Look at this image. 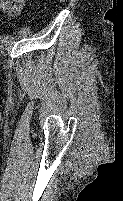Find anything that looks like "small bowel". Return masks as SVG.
I'll list each match as a JSON object with an SVG mask.
<instances>
[{
    "label": "small bowel",
    "mask_w": 123,
    "mask_h": 201,
    "mask_svg": "<svg viewBox=\"0 0 123 201\" xmlns=\"http://www.w3.org/2000/svg\"><path fill=\"white\" fill-rule=\"evenodd\" d=\"M25 2L26 0H0V12L9 17L17 16Z\"/></svg>",
    "instance_id": "small-bowel-1"
}]
</instances>
